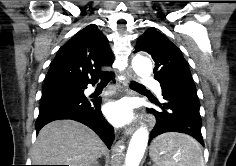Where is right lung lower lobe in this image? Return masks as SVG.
<instances>
[{"label":"right lung lower lobe","instance_id":"right-lung-lower-lobe-1","mask_svg":"<svg viewBox=\"0 0 236 166\" xmlns=\"http://www.w3.org/2000/svg\"><path fill=\"white\" fill-rule=\"evenodd\" d=\"M108 75L114 77V73ZM89 83L70 80L44 83L39 116L35 123L37 133L49 122L72 119L90 127L110 148L114 129L102 115L101 99L88 100L84 95Z\"/></svg>","mask_w":236,"mask_h":166}]
</instances>
